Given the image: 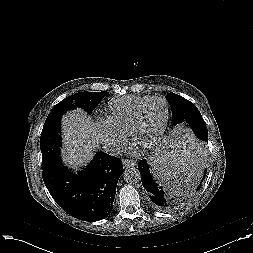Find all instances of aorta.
I'll list each match as a JSON object with an SVG mask.
<instances>
[{"instance_id": "762f6f07", "label": "aorta", "mask_w": 253, "mask_h": 253, "mask_svg": "<svg viewBox=\"0 0 253 253\" xmlns=\"http://www.w3.org/2000/svg\"><path fill=\"white\" fill-rule=\"evenodd\" d=\"M124 181L128 184L138 183L141 179L140 172L137 168L131 167L123 173Z\"/></svg>"}]
</instances>
